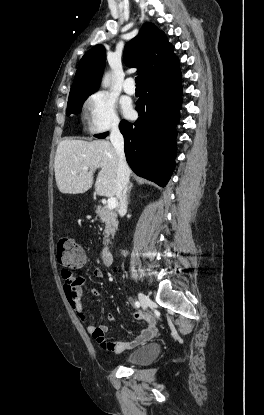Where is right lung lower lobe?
<instances>
[{
  "instance_id": "right-lung-lower-lobe-1",
  "label": "right lung lower lobe",
  "mask_w": 264,
  "mask_h": 415,
  "mask_svg": "<svg viewBox=\"0 0 264 415\" xmlns=\"http://www.w3.org/2000/svg\"><path fill=\"white\" fill-rule=\"evenodd\" d=\"M141 98L136 103L139 118L120 122L128 164L139 176L164 187L175 167L177 132L182 104L181 72L143 83ZM107 132L95 137L103 139Z\"/></svg>"
}]
</instances>
